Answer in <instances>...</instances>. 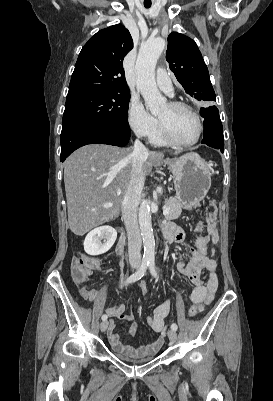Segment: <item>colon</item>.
<instances>
[{
	"label": "colon",
	"mask_w": 273,
	"mask_h": 401,
	"mask_svg": "<svg viewBox=\"0 0 273 401\" xmlns=\"http://www.w3.org/2000/svg\"><path fill=\"white\" fill-rule=\"evenodd\" d=\"M70 270H72L73 279L75 282H87L88 276H94L95 264L93 261H88L86 257H72L68 264ZM197 279H201V276H197L195 273L188 275L190 282H195ZM139 297L145 298L148 290L151 288L149 283L138 284ZM92 287L90 284H83L81 286L80 294L82 297H89L91 294Z\"/></svg>",
	"instance_id": "obj_1"
}]
</instances>
